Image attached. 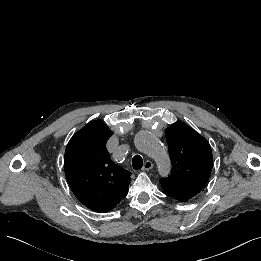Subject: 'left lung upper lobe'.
Returning <instances> with one entry per match:
<instances>
[{"label": "left lung upper lobe", "mask_w": 261, "mask_h": 261, "mask_svg": "<svg viewBox=\"0 0 261 261\" xmlns=\"http://www.w3.org/2000/svg\"><path fill=\"white\" fill-rule=\"evenodd\" d=\"M172 172L160 179L165 191L192 198L206 185L212 170V151L207 140L182 122L166 129Z\"/></svg>", "instance_id": "obj_1"}]
</instances>
